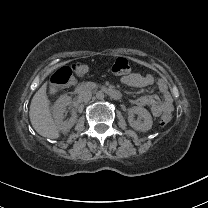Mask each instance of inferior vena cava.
I'll return each mask as SVG.
<instances>
[{"instance_id":"602c4592","label":"inferior vena cava","mask_w":208,"mask_h":208,"mask_svg":"<svg viewBox=\"0 0 208 208\" xmlns=\"http://www.w3.org/2000/svg\"><path fill=\"white\" fill-rule=\"evenodd\" d=\"M92 97V93L89 90H82L78 95V100L81 102H88Z\"/></svg>"}]
</instances>
